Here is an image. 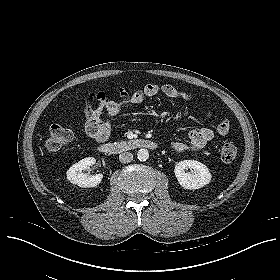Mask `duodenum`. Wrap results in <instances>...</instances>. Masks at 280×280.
<instances>
[{"instance_id":"duodenum-1","label":"duodenum","mask_w":280,"mask_h":280,"mask_svg":"<svg viewBox=\"0 0 280 280\" xmlns=\"http://www.w3.org/2000/svg\"><path fill=\"white\" fill-rule=\"evenodd\" d=\"M157 148L158 144L155 141L139 138L133 140H126L123 142L103 144L100 147V152L106 155H117L137 149L156 150Z\"/></svg>"}]
</instances>
